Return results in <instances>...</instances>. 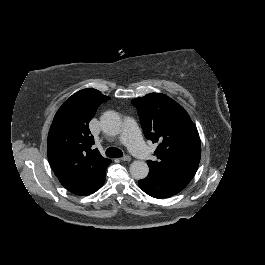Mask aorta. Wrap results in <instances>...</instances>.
Returning a JSON list of instances; mask_svg holds the SVG:
<instances>
[{
    "label": "aorta",
    "instance_id": "aorta-1",
    "mask_svg": "<svg viewBox=\"0 0 265 265\" xmlns=\"http://www.w3.org/2000/svg\"><path fill=\"white\" fill-rule=\"evenodd\" d=\"M103 131L110 136H115L120 133L121 120L120 116L115 111H106L100 119ZM130 174L134 179L140 180L147 177L149 167L144 161H134L129 168Z\"/></svg>",
    "mask_w": 265,
    "mask_h": 265
}]
</instances>
